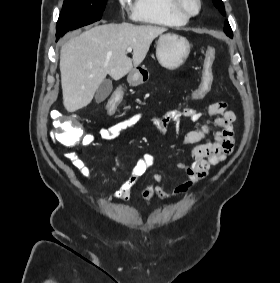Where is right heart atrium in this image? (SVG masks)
Returning <instances> with one entry per match:
<instances>
[{"mask_svg":"<svg viewBox=\"0 0 280 283\" xmlns=\"http://www.w3.org/2000/svg\"><path fill=\"white\" fill-rule=\"evenodd\" d=\"M118 2H119V5L122 9L127 8L128 0H118Z\"/></svg>","mask_w":280,"mask_h":283,"instance_id":"1","label":"right heart atrium"}]
</instances>
